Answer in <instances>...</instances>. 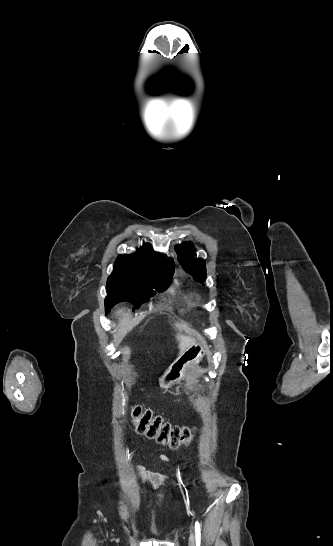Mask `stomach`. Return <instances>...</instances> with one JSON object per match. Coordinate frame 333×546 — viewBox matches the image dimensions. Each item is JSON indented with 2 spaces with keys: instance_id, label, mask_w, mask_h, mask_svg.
Listing matches in <instances>:
<instances>
[{
  "instance_id": "0dacf381",
  "label": "stomach",
  "mask_w": 333,
  "mask_h": 546,
  "mask_svg": "<svg viewBox=\"0 0 333 546\" xmlns=\"http://www.w3.org/2000/svg\"><path fill=\"white\" fill-rule=\"evenodd\" d=\"M208 353L205 343H193L169 366L163 376L159 379L161 388L168 389L179 383L187 373L188 369L200 363Z\"/></svg>"
}]
</instances>
